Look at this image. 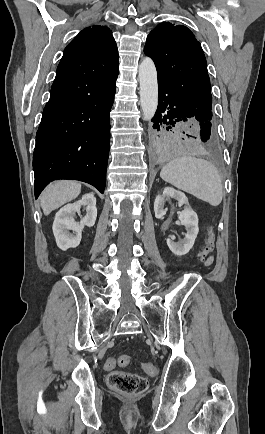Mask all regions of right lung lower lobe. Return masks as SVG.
Returning a JSON list of instances; mask_svg holds the SVG:
<instances>
[{
	"label": "right lung lower lobe",
	"mask_w": 265,
	"mask_h": 434,
	"mask_svg": "<svg viewBox=\"0 0 265 434\" xmlns=\"http://www.w3.org/2000/svg\"><path fill=\"white\" fill-rule=\"evenodd\" d=\"M118 53H64L36 134L35 197L53 180L106 184Z\"/></svg>",
	"instance_id": "right-lung-lower-lobe-1"
}]
</instances>
